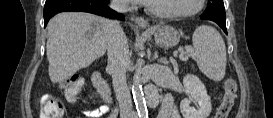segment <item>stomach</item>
I'll list each match as a JSON object with an SVG mask.
<instances>
[{
	"instance_id": "stomach-1",
	"label": "stomach",
	"mask_w": 273,
	"mask_h": 118,
	"mask_svg": "<svg viewBox=\"0 0 273 118\" xmlns=\"http://www.w3.org/2000/svg\"><path fill=\"white\" fill-rule=\"evenodd\" d=\"M155 43L162 48H171L180 41V34L172 26L158 25L151 28Z\"/></svg>"
}]
</instances>
